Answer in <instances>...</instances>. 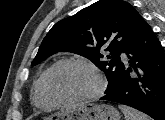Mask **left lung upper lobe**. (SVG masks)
Masks as SVG:
<instances>
[{"instance_id": "1", "label": "left lung upper lobe", "mask_w": 165, "mask_h": 120, "mask_svg": "<svg viewBox=\"0 0 165 120\" xmlns=\"http://www.w3.org/2000/svg\"><path fill=\"white\" fill-rule=\"evenodd\" d=\"M145 23L128 2L99 0L56 23L42 41L32 65L61 51L79 54L104 71L111 92L119 85L122 73L120 55ZM101 47L109 52L107 61L102 60Z\"/></svg>"}]
</instances>
